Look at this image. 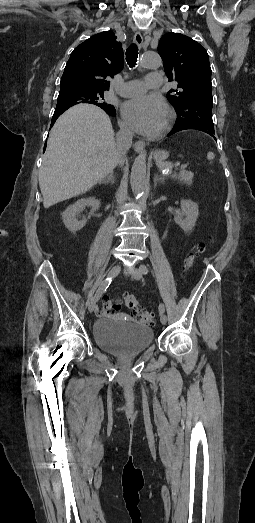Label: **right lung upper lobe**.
Segmentation results:
<instances>
[{
	"label": "right lung upper lobe",
	"instance_id": "obj_1",
	"mask_svg": "<svg viewBox=\"0 0 255 523\" xmlns=\"http://www.w3.org/2000/svg\"><path fill=\"white\" fill-rule=\"evenodd\" d=\"M122 68L121 42L116 41V36L112 31L98 33L73 50L61 78L60 90L79 89L104 92L110 86L106 77H113ZM78 103H57L51 125L64 111ZM91 103L100 106L110 116L116 115L115 108L102 100Z\"/></svg>",
	"mask_w": 255,
	"mask_h": 523
}]
</instances>
